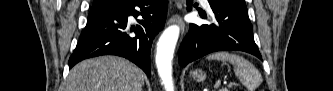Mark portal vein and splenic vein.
Wrapping results in <instances>:
<instances>
[{"label":"portal vein and splenic vein","instance_id":"portal-vein-and-splenic-vein-1","mask_svg":"<svg viewBox=\"0 0 333 91\" xmlns=\"http://www.w3.org/2000/svg\"><path fill=\"white\" fill-rule=\"evenodd\" d=\"M220 85V81H217L215 84V87H218ZM232 84H227V86H231Z\"/></svg>","mask_w":333,"mask_h":91}]
</instances>
